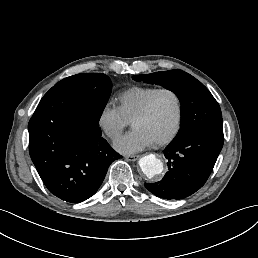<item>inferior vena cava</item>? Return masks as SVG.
<instances>
[{"label": "inferior vena cava", "mask_w": 258, "mask_h": 258, "mask_svg": "<svg viewBox=\"0 0 258 258\" xmlns=\"http://www.w3.org/2000/svg\"><path fill=\"white\" fill-rule=\"evenodd\" d=\"M111 134H112V131H108V132H107V135H108V136H111Z\"/></svg>", "instance_id": "1"}]
</instances>
